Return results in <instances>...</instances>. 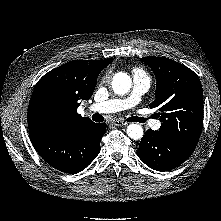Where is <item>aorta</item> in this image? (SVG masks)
Returning a JSON list of instances; mask_svg holds the SVG:
<instances>
[{"instance_id":"aorta-1","label":"aorta","mask_w":221,"mask_h":221,"mask_svg":"<svg viewBox=\"0 0 221 221\" xmlns=\"http://www.w3.org/2000/svg\"><path fill=\"white\" fill-rule=\"evenodd\" d=\"M132 86L131 78L123 72L115 74L112 87L115 93L124 95L129 92ZM128 137L133 140H138L143 137V128L138 124H130L126 129Z\"/></svg>"}]
</instances>
